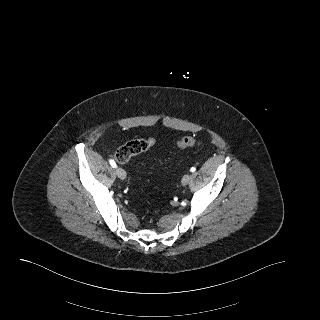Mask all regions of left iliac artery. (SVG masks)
Listing matches in <instances>:
<instances>
[{
    "mask_svg": "<svg viewBox=\"0 0 320 320\" xmlns=\"http://www.w3.org/2000/svg\"><path fill=\"white\" fill-rule=\"evenodd\" d=\"M195 170H196L195 167H192V168L190 169L191 172H195Z\"/></svg>",
    "mask_w": 320,
    "mask_h": 320,
    "instance_id": "left-iliac-artery-1",
    "label": "left iliac artery"
}]
</instances>
